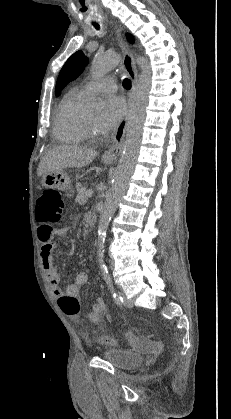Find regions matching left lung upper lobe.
Segmentation results:
<instances>
[{
	"label": "left lung upper lobe",
	"mask_w": 231,
	"mask_h": 419,
	"mask_svg": "<svg viewBox=\"0 0 231 419\" xmlns=\"http://www.w3.org/2000/svg\"><path fill=\"white\" fill-rule=\"evenodd\" d=\"M128 40L132 43L133 37L127 34ZM87 58L82 51L75 52L64 64L56 83L55 94L58 96L66 84L77 78L87 64Z\"/></svg>",
	"instance_id": "obj_1"
}]
</instances>
